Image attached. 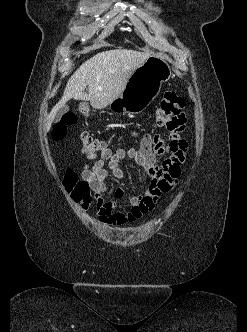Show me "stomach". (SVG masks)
Returning a JSON list of instances; mask_svg holds the SVG:
<instances>
[{
    "instance_id": "0dacf381",
    "label": "stomach",
    "mask_w": 247,
    "mask_h": 332,
    "mask_svg": "<svg viewBox=\"0 0 247 332\" xmlns=\"http://www.w3.org/2000/svg\"><path fill=\"white\" fill-rule=\"evenodd\" d=\"M171 75V67L165 60L149 57L134 70L123 92L110 103V109L130 115L140 114L157 97L162 84Z\"/></svg>"
}]
</instances>
